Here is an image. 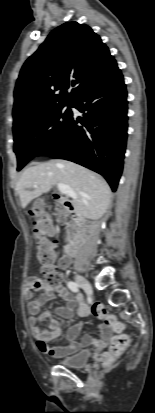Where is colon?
<instances>
[{"instance_id": "1", "label": "colon", "mask_w": 155, "mask_h": 413, "mask_svg": "<svg viewBox=\"0 0 155 413\" xmlns=\"http://www.w3.org/2000/svg\"><path fill=\"white\" fill-rule=\"evenodd\" d=\"M58 213L60 219H63L62 211L58 210ZM31 216L34 234L41 240L38 245L37 256L41 264L43 281L48 287H57L61 279L60 273L57 271L56 244L46 239L52 230L49 214L45 210L44 205L41 202H37L32 208ZM67 262L66 258L59 260L61 266H65ZM91 310L96 317L103 319L109 328L118 333V335L112 338L108 351L103 352L99 357L101 364L109 365L129 347L130 338L128 335L121 333L124 329L123 323L110 314L101 302H94Z\"/></svg>"}]
</instances>
